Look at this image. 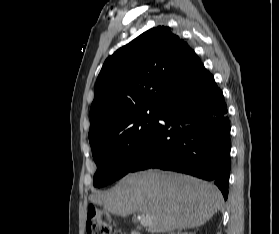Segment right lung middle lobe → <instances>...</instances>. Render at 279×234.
Segmentation results:
<instances>
[{
	"mask_svg": "<svg viewBox=\"0 0 279 234\" xmlns=\"http://www.w3.org/2000/svg\"><path fill=\"white\" fill-rule=\"evenodd\" d=\"M159 108L135 112L106 136L91 143L97 165L94 186L103 187L123 177L143 154L156 128Z\"/></svg>",
	"mask_w": 279,
	"mask_h": 234,
	"instance_id": "right-lung-middle-lobe-1",
	"label": "right lung middle lobe"
}]
</instances>
